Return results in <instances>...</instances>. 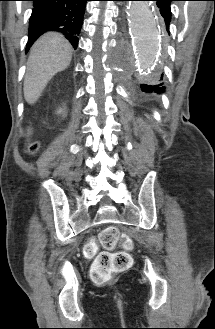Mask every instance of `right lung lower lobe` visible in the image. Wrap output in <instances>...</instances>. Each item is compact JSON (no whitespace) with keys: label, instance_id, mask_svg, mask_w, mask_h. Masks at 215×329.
Listing matches in <instances>:
<instances>
[{"label":"right lung lower lobe","instance_id":"1","mask_svg":"<svg viewBox=\"0 0 215 329\" xmlns=\"http://www.w3.org/2000/svg\"><path fill=\"white\" fill-rule=\"evenodd\" d=\"M31 1L34 2V8L29 22L26 51L43 33L51 30L63 33L76 48L88 0Z\"/></svg>","mask_w":215,"mask_h":329}]
</instances>
